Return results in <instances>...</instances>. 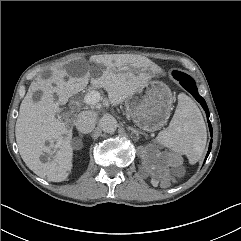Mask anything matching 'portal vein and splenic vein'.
Instances as JSON below:
<instances>
[{
    "instance_id": "portal-vein-and-splenic-vein-1",
    "label": "portal vein and splenic vein",
    "mask_w": 241,
    "mask_h": 241,
    "mask_svg": "<svg viewBox=\"0 0 241 241\" xmlns=\"http://www.w3.org/2000/svg\"><path fill=\"white\" fill-rule=\"evenodd\" d=\"M100 100V94L97 91H91L84 97V103L87 105L96 104Z\"/></svg>"
}]
</instances>
